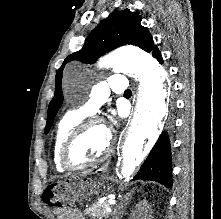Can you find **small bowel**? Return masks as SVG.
<instances>
[{
	"label": "small bowel",
	"mask_w": 221,
	"mask_h": 219,
	"mask_svg": "<svg viewBox=\"0 0 221 219\" xmlns=\"http://www.w3.org/2000/svg\"><path fill=\"white\" fill-rule=\"evenodd\" d=\"M60 219H86L78 209H59Z\"/></svg>",
	"instance_id": "obj_1"
}]
</instances>
